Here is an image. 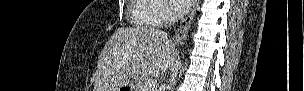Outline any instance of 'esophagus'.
Listing matches in <instances>:
<instances>
[{
  "label": "esophagus",
  "instance_id": "esophagus-1",
  "mask_svg": "<svg viewBox=\"0 0 304 91\" xmlns=\"http://www.w3.org/2000/svg\"><path fill=\"white\" fill-rule=\"evenodd\" d=\"M198 3L199 0H194L189 14L181 21L180 28L173 37L175 44H182L186 40Z\"/></svg>",
  "mask_w": 304,
  "mask_h": 91
}]
</instances>
